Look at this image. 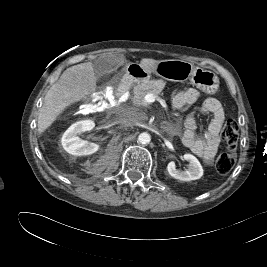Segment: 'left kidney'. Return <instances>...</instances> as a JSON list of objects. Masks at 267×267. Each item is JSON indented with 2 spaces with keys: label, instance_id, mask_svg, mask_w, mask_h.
Returning a JSON list of instances; mask_svg holds the SVG:
<instances>
[{
  "label": "left kidney",
  "instance_id": "left-kidney-1",
  "mask_svg": "<svg viewBox=\"0 0 267 267\" xmlns=\"http://www.w3.org/2000/svg\"><path fill=\"white\" fill-rule=\"evenodd\" d=\"M184 159L189 162L188 169L178 170L176 169L175 163L171 161L167 165L169 175L181 181H191L201 178L203 175V168L198 159L192 154H185Z\"/></svg>",
  "mask_w": 267,
  "mask_h": 267
}]
</instances>
